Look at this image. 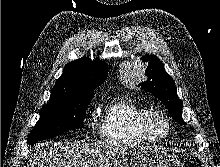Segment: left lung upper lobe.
I'll return each instance as SVG.
<instances>
[{"label":"left lung upper lobe","instance_id":"1","mask_svg":"<svg viewBox=\"0 0 220 167\" xmlns=\"http://www.w3.org/2000/svg\"><path fill=\"white\" fill-rule=\"evenodd\" d=\"M142 60L148 62V66L145 71L146 79L138 87L160 99L169 110L172 118L179 124H184L185 122L182 119V101L177 95L172 77L165 71L164 65L158 57L147 55L142 57Z\"/></svg>","mask_w":220,"mask_h":167}]
</instances>
